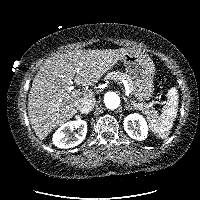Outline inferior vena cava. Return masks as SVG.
<instances>
[{
	"label": "inferior vena cava",
	"mask_w": 200,
	"mask_h": 200,
	"mask_svg": "<svg viewBox=\"0 0 200 200\" xmlns=\"http://www.w3.org/2000/svg\"><path fill=\"white\" fill-rule=\"evenodd\" d=\"M95 98H85L79 106L82 114H88L95 106Z\"/></svg>",
	"instance_id": "602c4592"
}]
</instances>
